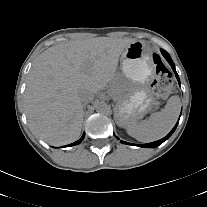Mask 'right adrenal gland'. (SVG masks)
<instances>
[{
	"label": "right adrenal gland",
	"mask_w": 207,
	"mask_h": 207,
	"mask_svg": "<svg viewBox=\"0 0 207 207\" xmlns=\"http://www.w3.org/2000/svg\"><path fill=\"white\" fill-rule=\"evenodd\" d=\"M83 108L86 109V104L83 105Z\"/></svg>",
	"instance_id": "obj_1"
}]
</instances>
